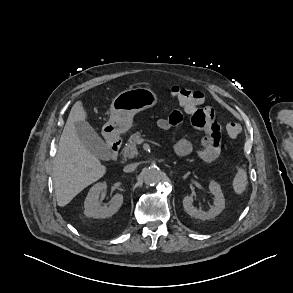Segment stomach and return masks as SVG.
Masks as SVG:
<instances>
[{"instance_id": "obj_1", "label": "stomach", "mask_w": 293, "mask_h": 293, "mask_svg": "<svg viewBox=\"0 0 293 293\" xmlns=\"http://www.w3.org/2000/svg\"><path fill=\"white\" fill-rule=\"evenodd\" d=\"M158 102L157 95L149 88H131L120 92L112 101L110 119L103 126V133L117 136L128 131L137 113L154 107Z\"/></svg>"}]
</instances>
